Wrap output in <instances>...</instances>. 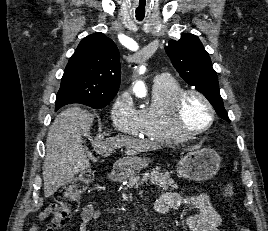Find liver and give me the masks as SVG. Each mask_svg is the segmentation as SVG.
<instances>
[{
  "label": "liver",
  "mask_w": 268,
  "mask_h": 231,
  "mask_svg": "<svg viewBox=\"0 0 268 231\" xmlns=\"http://www.w3.org/2000/svg\"><path fill=\"white\" fill-rule=\"evenodd\" d=\"M94 116L79 106L69 107L57 115L46 139V156L43 164L44 196L48 198L62 186L72 182L75 175L90 167L83 149V137H90ZM94 150L109 156L124 146L127 155L156 149L157 146L128 136H115L103 141L93 140Z\"/></svg>",
  "instance_id": "obj_1"
}]
</instances>
